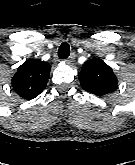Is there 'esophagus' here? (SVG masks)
<instances>
[{
	"mask_svg": "<svg viewBox=\"0 0 135 165\" xmlns=\"http://www.w3.org/2000/svg\"><path fill=\"white\" fill-rule=\"evenodd\" d=\"M74 59H75V54L72 53L67 59H65V62L71 64Z\"/></svg>",
	"mask_w": 135,
	"mask_h": 165,
	"instance_id": "34e87169",
	"label": "esophagus"
}]
</instances>
